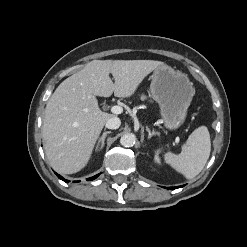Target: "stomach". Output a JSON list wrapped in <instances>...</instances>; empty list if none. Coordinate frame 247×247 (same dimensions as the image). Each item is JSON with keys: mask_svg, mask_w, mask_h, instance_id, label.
Segmentation results:
<instances>
[{"mask_svg": "<svg viewBox=\"0 0 247 247\" xmlns=\"http://www.w3.org/2000/svg\"><path fill=\"white\" fill-rule=\"evenodd\" d=\"M150 91L160 107L165 126L172 130L180 127L195 93L188 76L162 64L153 72Z\"/></svg>", "mask_w": 247, "mask_h": 247, "instance_id": "1", "label": "stomach"}]
</instances>
